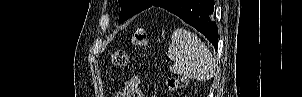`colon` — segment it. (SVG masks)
Returning <instances> with one entry per match:
<instances>
[{
	"instance_id": "obj_1",
	"label": "colon",
	"mask_w": 302,
	"mask_h": 97,
	"mask_svg": "<svg viewBox=\"0 0 302 97\" xmlns=\"http://www.w3.org/2000/svg\"><path fill=\"white\" fill-rule=\"evenodd\" d=\"M132 43L137 48H145L148 45V37L143 27H136L133 31ZM129 62V54L126 51H115L110 56V63L116 67H122ZM184 84L181 79H169L168 86L172 90L180 88Z\"/></svg>"
}]
</instances>
